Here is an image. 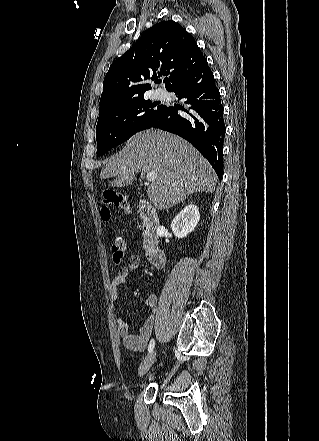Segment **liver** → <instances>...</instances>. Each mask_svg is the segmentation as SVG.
<instances>
[{"mask_svg":"<svg viewBox=\"0 0 319 441\" xmlns=\"http://www.w3.org/2000/svg\"><path fill=\"white\" fill-rule=\"evenodd\" d=\"M141 171L157 173L147 194L160 210L182 202L192 193L213 192L217 182L209 162L191 144L156 129L134 135L122 151L107 160L100 178L116 177L112 185L124 187Z\"/></svg>","mask_w":319,"mask_h":441,"instance_id":"1","label":"liver"}]
</instances>
